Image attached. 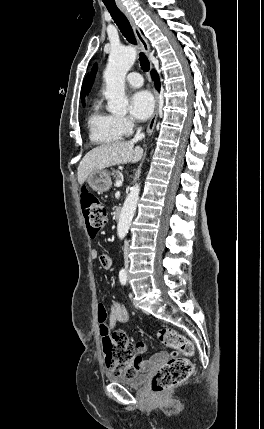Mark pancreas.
Returning <instances> with one entry per match:
<instances>
[{"label":"pancreas","mask_w":264,"mask_h":429,"mask_svg":"<svg viewBox=\"0 0 264 429\" xmlns=\"http://www.w3.org/2000/svg\"><path fill=\"white\" fill-rule=\"evenodd\" d=\"M112 175L114 176L115 181L120 180V179H121V177H122L121 172H120V171H118V170H114V171L112 172Z\"/></svg>","instance_id":"1"}]
</instances>
